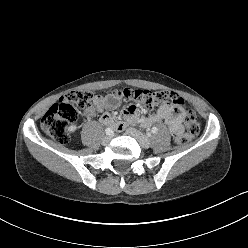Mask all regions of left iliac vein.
Listing matches in <instances>:
<instances>
[{
  "label": "left iliac vein",
  "instance_id": "4c4485c4",
  "mask_svg": "<svg viewBox=\"0 0 248 248\" xmlns=\"http://www.w3.org/2000/svg\"><path fill=\"white\" fill-rule=\"evenodd\" d=\"M127 133L134 137L138 143L143 147V148H149L150 147V140L147 136L142 134L141 132L135 130V129H128Z\"/></svg>",
  "mask_w": 248,
  "mask_h": 248
}]
</instances>
